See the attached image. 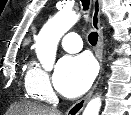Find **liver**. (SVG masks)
Returning a JSON list of instances; mask_svg holds the SVG:
<instances>
[{
	"instance_id": "liver-1",
	"label": "liver",
	"mask_w": 131,
	"mask_h": 115,
	"mask_svg": "<svg viewBox=\"0 0 131 115\" xmlns=\"http://www.w3.org/2000/svg\"><path fill=\"white\" fill-rule=\"evenodd\" d=\"M7 113H9V115H61V113L55 109L29 103L14 104Z\"/></svg>"
}]
</instances>
